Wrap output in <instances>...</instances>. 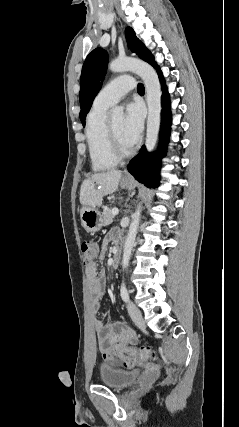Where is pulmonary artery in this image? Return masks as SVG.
Wrapping results in <instances>:
<instances>
[{"mask_svg":"<svg viewBox=\"0 0 239 427\" xmlns=\"http://www.w3.org/2000/svg\"><path fill=\"white\" fill-rule=\"evenodd\" d=\"M134 87L135 83L131 76L123 75L117 77L99 91L94 100V104L110 107L119 102L121 98Z\"/></svg>","mask_w":239,"mask_h":427,"instance_id":"e3ab8cb5","label":"pulmonary artery"}]
</instances>
